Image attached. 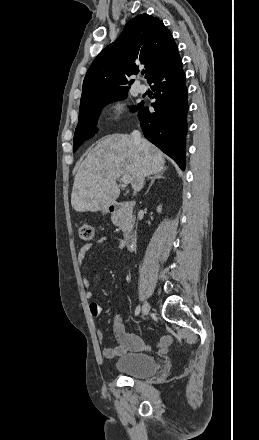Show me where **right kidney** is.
Returning <instances> with one entry per match:
<instances>
[{"instance_id": "1", "label": "right kidney", "mask_w": 259, "mask_h": 440, "mask_svg": "<svg viewBox=\"0 0 259 440\" xmlns=\"http://www.w3.org/2000/svg\"><path fill=\"white\" fill-rule=\"evenodd\" d=\"M161 211H162V206L159 205V206L157 207V212H158V213H161Z\"/></svg>"}]
</instances>
